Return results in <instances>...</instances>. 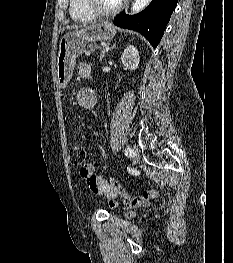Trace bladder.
Segmentation results:
<instances>
[{"instance_id": "1", "label": "bladder", "mask_w": 233, "mask_h": 263, "mask_svg": "<svg viewBox=\"0 0 233 263\" xmlns=\"http://www.w3.org/2000/svg\"><path fill=\"white\" fill-rule=\"evenodd\" d=\"M133 216H134L133 212H125L124 213V217H126V218H132Z\"/></svg>"}]
</instances>
